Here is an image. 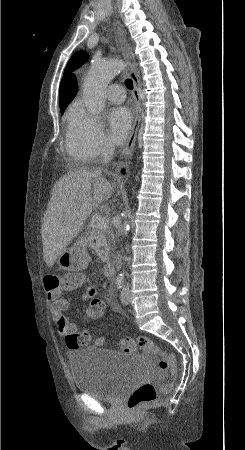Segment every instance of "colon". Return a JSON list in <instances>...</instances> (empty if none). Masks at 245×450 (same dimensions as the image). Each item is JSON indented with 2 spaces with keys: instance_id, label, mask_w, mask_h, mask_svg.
I'll use <instances>...</instances> for the list:
<instances>
[{
  "instance_id": "5ec220e1",
  "label": "colon",
  "mask_w": 245,
  "mask_h": 450,
  "mask_svg": "<svg viewBox=\"0 0 245 450\" xmlns=\"http://www.w3.org/2000/svg\"><path fill=\"white\" fill-rule=\"evenodd\" d=\"M83 276L78 271L68 272L62 276H55L45 280L46 289L66 290L81 284ZM104 314V304L102 301L94 300L87 308L86 321L97 320ZM68 343L74 347L86 345L90 341V336L86 331H78L68 335ZM124 350H132L135 347L140 350L154 354L158 360L159 368L167 372L171 377L176 374V364L174 354L163 350L157 344L146 337L134 339L128 337L121 343ZM172 383L168 382L162 386L164 391H169ZM158 400L156 388L151 383L139 385L128 399V408L133 413H139L141 409Z\"/></svg>"
}]
</instances>
